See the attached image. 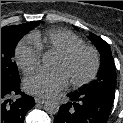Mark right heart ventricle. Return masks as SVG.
Here are the masks:
<instances>
[{
    "label": "right heart ventricle",
    "mask_w": 123,
    "mask_h": 123,
    "mask_svg": "<svg viewBox=\"0 0 123 123\" xmlns=\"http://www.w3.org/2000/svg\"><path fill=\"white\" fill-rule=\"evenodd\" d=\"M29 38L41 52H61L71 47L84 44V40L67 29H49L45 32H34Z\"/></svg>",
    "instance_id": "1"
}]
</instances>
